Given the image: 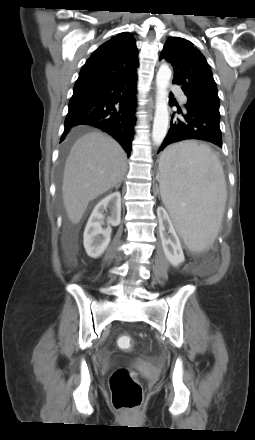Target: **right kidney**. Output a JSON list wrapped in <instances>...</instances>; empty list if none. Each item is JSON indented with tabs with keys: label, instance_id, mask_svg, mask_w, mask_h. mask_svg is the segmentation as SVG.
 Listing matches in <instances>:
<instances>
[{
	"label": "right kidney",
	"instance_id": "right-kidney-1",
	"mask_svg": "<svg viewBox=\"0 0 255 440\" xmlns=\"http://www.w3.org/2000/svg\"><path fill=\"white\" fill-rule=\"evenodd\" d=\"M110 210L107 223L118 226L121 222V194L114 192L103 198L93 209L84 230V248L92 258L100 257L111 239L112 229L110 226L102 228L105 216L104 211Z\"/></svg>",
	"mask_w": 255,
	"mask_h": 440
}]
</instances>
